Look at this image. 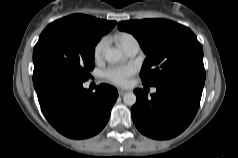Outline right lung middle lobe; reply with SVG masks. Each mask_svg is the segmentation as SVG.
Returning a JSON list of instances; mask_svg holds the SVG:
<instances>
[{
  "label": "right lung middle lobe",
  "mask_w": 238,
  "mask_h": 158,
  "mask_svg": "<svg viewBox=\"0 0 238 158\" xmlns=\"http://www.w3.org/2000/svg\"><path fill=\"white\" fill-rule=\"evenodd\" d=\"M100 39V34L83 25L57 20L44 29L34 47V72L52 68L86 81Z\"/></svg>",
  "instance_id": "1"
}]
</instances>
